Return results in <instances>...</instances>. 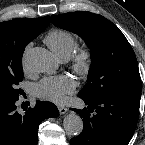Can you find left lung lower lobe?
<instances>
[{"instance_id": "left-lung-lower-lobe-1", "label": "left lung lower lobe", "mask_w": 145, "mask_h": 145, "mask_svg": "<svg viewBox=\"0 0 145 145\" xmlns=\"http://www.w3.org/2000/svg\"><path fill=\"white\" fill-rule=\"evenodd\" d=\"M78 96L87 107L73 109L83 118V131L70 145H128L138 122L141 92L116 93L102 98Z\"/></svg>"}]
</instances>
